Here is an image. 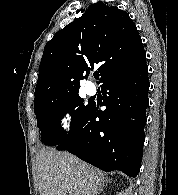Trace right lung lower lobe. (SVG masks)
<instances>
[{"label": "right lung lower lobe", "mask_w": 178, "mask_h": 195, "mask_svg": "<svg viewBox=\"0 0 178 195\" xmlns=\"http://www.w3.org/2000/svg\"><path fill=\"white\" fill-rule=\"evenodd\" d=\"M148 66L138 67L102 84L104 111L92 104L79 120L70 139L57 150H68L80 159L104 171L119 170L136 177L143 156Z\"/></svg>", "instance_id": "obj_1"}]
</instances>
